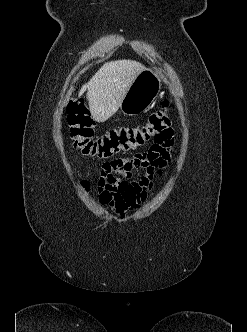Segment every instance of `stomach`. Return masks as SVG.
Here are the masks:
<instances>
[{
  "label": "stomach",
  "instance_id": "obj_1",
  "mask_svg": "<svg viewBox=\"0 0 247 332\" xmlns=\"http://www.w3.org/2000/svg\"><path fill=\"white\" fill-rule=\"evenodd\" d=\"M161 89V79L158 73L151 69L145 68L134 79L125 94L120 110L123 114L136 116L147 111Z\"/></svg>",
  "mask_w": 247,
  "mask_h": 332
}]
</instances>
